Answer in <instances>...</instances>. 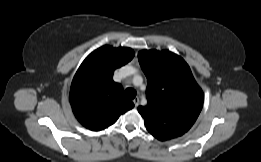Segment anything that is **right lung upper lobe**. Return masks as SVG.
Instances as JSON below:
<instances>
[{"instance_id": "cb5924a9", "label": "right lung upper lobe", "mask_w": 261, "mask_h": 162, "mask_svg": "<svg viewBox=\"0 0 261 162\" xmlns=\"http://www.w3.org/2000/svg\"><path fill=\"white\" fill-rule=\"evenodd\" d=\"M133 57L131 48L105 45L83 61L72 81L69 99L75 117L84 127L103 130L134 107L123 98L121 84L113 81L114 70Z\"/></svg>"}]
</instances>
